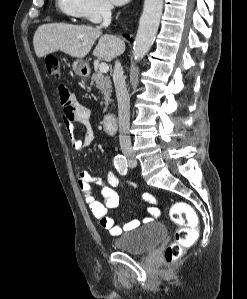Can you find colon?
<instances>
[{
    "label": "colon",
    "mask_w": 247,
    "mask_h": 299,
    "mask_svg": "<svg viewBox=\"0 0 247 299\" xmlns=\"http://www.w3.org/2000/svg\"><path fill=\"white\" fill-rule=\"evenodd\" d=\"M48 74L59 76L60 62L57 57L49 55L45 59ZM171 221L178 226L174 240L165 251V259L171 263L178 259L185 247L190 246L198 236L197 216L191 206L184 202L174 203L169 211Z\"/></svg>",
    "instance_id": "obj_1"
}]
</instances>
